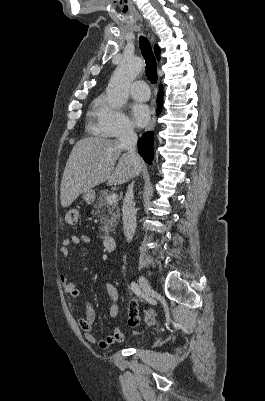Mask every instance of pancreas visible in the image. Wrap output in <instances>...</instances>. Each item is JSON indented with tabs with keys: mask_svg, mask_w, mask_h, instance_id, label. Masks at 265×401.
Returning a JSON list of instances; mask_svg holds the SVG:
<instances>
[{
	"mask_svg": "<svg viewBox=\"0 0 265 401\" xmlns=\"http://www.w3.org/2000/svg\"><path fill=\"white\" fill-rule=\"evenodd\" d=\"M112 194L111 190H100L99 196L97 198L96 203H94L93 211H91V215L93 217H99V231H100V239H105V237H109L110 231H112L113 227H116L117 221L119 219V207L117 203H112L109 205L107 203V196Z\"/></svg>",
	"mask_w": 265,
	"mask_h": 401,
	"instance_id": "1",
	"label": "pancreas"
}]
</instances>
